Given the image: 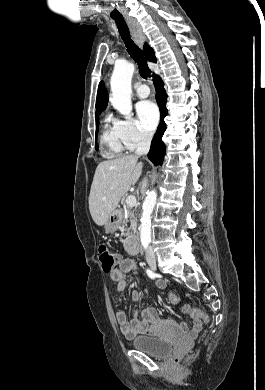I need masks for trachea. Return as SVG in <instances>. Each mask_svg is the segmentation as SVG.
Returning a JSON list of instances; mask_svg holds the SVG:
<instances>
[{"instance_id":"trachea-1","label":"trachea","mask_w":265,"mask_h":390,"mask_svg":"<svg viewBox=\"0 0 265 390\" xmlns=\"http://www.w3.org/2000/svg\"><path fill=\"white\" fill-rule=\"evenodd\" d=\"M113 19L117 25L120 36L125 43L128 53L136 61L138 65L141 77L145 79L149 78L151 76V70L148 67L147 60L143 56L141 49L131 39L129 29L127 27L124 18H113Z\"/></svg>"}]
</instances>
